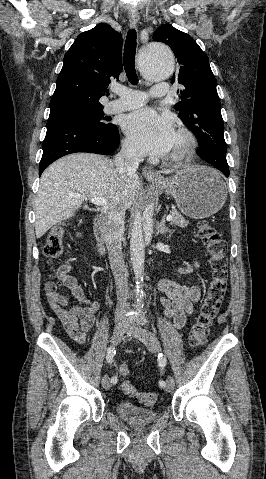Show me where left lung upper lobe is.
Here are the masks:
<instances>
[{"mask_svg": "<svg viewBox=\"0 0 266 479\" xmlns=\"http://www.w3.org/2000/svg\"><path fill=\"white\" fill-rule=\"evenodd\" d=\"M153 40L169 45L180 65L171 81L183 86L178 91L181 101L175 110L195 134L200 148L198 156L217 169L228 167L217 81L208 56L190 35L169 24L158 27Z\"/></svg>", "mask_w": 266, "mask_h": 479, "instance_id": "5c2ea615", "label": "left lung upper lobe"}]
</instances>
